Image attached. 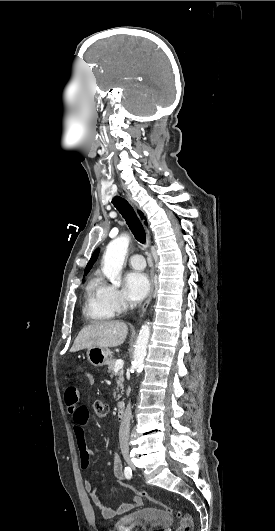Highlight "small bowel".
<instances>
[{
  "instance_id": "obj_1",
  "label": "small bowel",
  "mask_w": 275,
  "mask_h": 531,
  "mask_svg": "<svg viewBox=\"0 0 275 531\" xmlns=\"http://www.w3.org/2000/svg\"><path fill=\"white\" fill-rule=\"evenodd\" d=\"M78 374H84V371H78ZM85 381L87 383H92L94 381V376L92 374H87L85 376ZM65 403L67 411L73 421V433L80 450V465L83 469H87L91 464V458L94 454L87 446L85 434V427L89 421V411L86 407L78 405V395L73 389L66 390ZM111 459L115 477L118 481L125 480V472L119 455L113 453ZM84 488L89 494L92 504L100 510L104 519H112L124 515L134 509L140 508L143 504L141 497L135 495L129 502L123 503L117 507H107L99 498L93 482L85 480Z\"/></svg>"
}]
</instances>
